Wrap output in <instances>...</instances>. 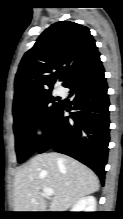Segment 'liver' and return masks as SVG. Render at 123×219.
<instances>
[{"label":"liver","instance_id":"liver-1","mask_svg":"<svg viewBox=\"0 0 123 219\" xmlns=\"http://www.w3.org/2000/svg\"><path fill=\"white\" fill-rule=\"evenodd\" d=\"M99 186L97 175L79 161L55 152L40 154L15 175L14 212H45V187L54 192L50 210L65 212Z\"/></svg>","mask_w":123,"mask_h":219}]
</instances>
